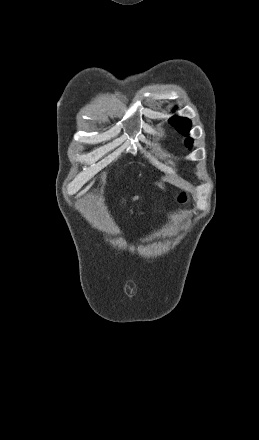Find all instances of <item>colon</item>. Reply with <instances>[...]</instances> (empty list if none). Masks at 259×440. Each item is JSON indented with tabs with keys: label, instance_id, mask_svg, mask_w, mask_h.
I'll return each mask as SVG.
<instances>
[{
	"label": "colon",
	"instance_id": "colon-1",
	"mask_svg": "<svg viewBox=\"0 0 259 440\" xmlns=\"http://www.w3.org/2000/svg\"><path fill=\"white\" fill-rule=\"evenodd\" d=\"M178 200L180 203H185L188 200V194L186 191L180 193Z\"/></svg>",
	"mask_w": 259,
	"mask_h": 440
}]
</instances>
